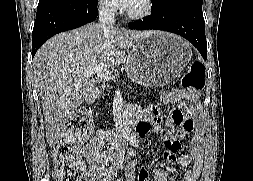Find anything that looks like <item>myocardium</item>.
Masks as SVG:
<instances>
[{"label":"myocardium","instance_id":"obj_1","mask_svg":"<svg viewBox=\"0 0 253 181\" xmlns=\"http://www.w3.org/2000/svg\"><path fill=\"white\" fill-rule=\"evenodd\" d=\"M154 10V0H145L144 1V7L137 12H131L127 11L126 15L128 18L135 20V21H141L144 19H147Z\"/></svg>","mask_w":253,"mask_h":181}]
</instances>
